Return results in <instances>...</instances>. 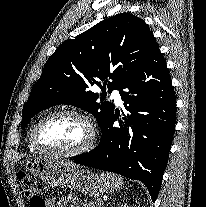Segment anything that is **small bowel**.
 Here are the masks:
<instances>
[{
	"label": "small bowel",
	"instance_id": "1",
	"mask_svg": "<svg viewBox=\"0 0 206 207\" xmlns=\"http://www.w3.org/2000/svg\"><path fill=\"white\" fill-rule=\"evenodd\" d=\"M78 207L72 197H59L47 201L46 207Z\"/></svg>",
	"mask_w": 206,
	"mask_h": 207
}]
</instances>
